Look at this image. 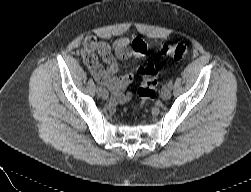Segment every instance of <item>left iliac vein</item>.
<instances>
[{
  "label": "left iliac vein",
  "instance_id": "4c4485c4",
  "mask_svg": "<svg viewBox=\"0 0 251 192\" xmlns=\"http://www.w3.org/2000/svg\"><path fill=\"white\" fill-rule=\"evenodd\" d=\"M171 97V88L167 85L163 86L161 90V98L163 100H168Z\"/></svg>",
  "mask_w": 251,
  "mask_h": 192
}]
</instances>
